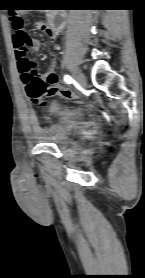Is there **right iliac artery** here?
I'll list each match as a JSON object with an SVG mask.
<instances>
[{"mask_svg":"<svg viewBox=\"0 0 145 278\" xmlns=\"http://www.w3.org/2000/svg\"><path fill=\"white\" fill-rule=\"evenodd\" d=\"M64 81L67 83V84H71L74 82L73 78L69 75H65L64 76Z\"/></svg>","mask_w":145,"mask_h":278,"instance_id":"1","label":"right iliac artery"}]
</instances>
